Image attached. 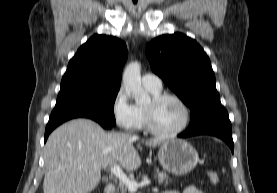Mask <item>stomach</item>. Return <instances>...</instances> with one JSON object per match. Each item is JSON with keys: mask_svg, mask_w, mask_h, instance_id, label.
Here are the masks:
<instances>
[{"mask_svg": "<svg viewBox=\"0 0 277 193\" xmlns=\"http://www.w3.org/2000/svg\"><path fill=\"white\" fill-rule=\"evenodd\" d=\"M158 159L167 172L180 176L196 167L199 156L196 149L185 140L170 139L161 144Z\"/></svg>", "mask_w": 277, "mask_h": 193, "instance_id": "0dacf381", "label": "stomach"}]
</instances>
